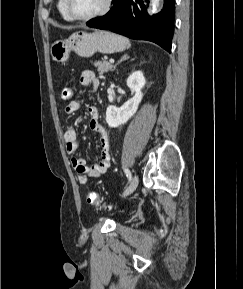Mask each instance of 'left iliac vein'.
<instances>
[{
    "label": "left iliac vein",
    "instance_id": "1",
    "mask_svg": "<svg viewBox=\"0 0 243 289\" xmlns=\"http://www.w3.org/2000/svg\"><path fill=\"white\" fill-rule=\"evenodd\" d=\"M138 183H139L138 176L134 175L130 184L128 185L126 190L122 193V197H126V196L130 195L131 193H133L135 191V189L137 188Z\"/></svg>",
    "mask_w": 243,
    "mask_h": 289
}]
</instances>
